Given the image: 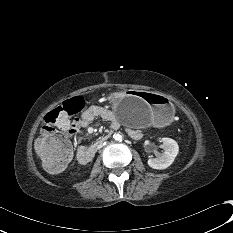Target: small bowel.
<instances>
[{
    "label": "small bowel",
    "instance_id": "1",
    "mask_svg": "<svg viewBox=\"0 0 233 233\" xmlns=\"http://www.w3.org/2000/svg\"><path fill=\"white\" fill-rule=\"evenodd\" d=\"M96 118H101L108 121L112 125L117 123L111 110L100 105H92L84 110L79 117L73 120H67L65 122V127H57L56 131L66 136H73L79 133L81 129L87 127ZM138 133V131H131L132 135H138Z\"/></svg>",
    "mask_w": 233,
    "mask_h": 233
}]
</instances>
